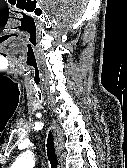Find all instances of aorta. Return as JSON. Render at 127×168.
Here are the masks:
<instances>
[{"label": "aorta", "mask_w": 127, "mask_h": 168, "mask_svg": "<svg viewBox=\"0 0 127 168\" xmlns=\"http://www.w3.org/2000/svg\"><path fill=\"white\" fill-rule=\"evenodd\" d=\"M34 167V159L31 152H25L21 155L15 163L11 166V168H33Z\"/></svg>", "instance_id": "aorta-1"}]
</instances>
